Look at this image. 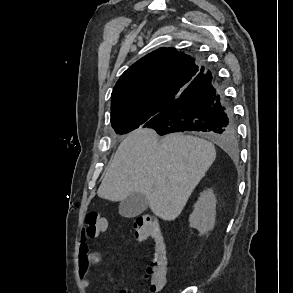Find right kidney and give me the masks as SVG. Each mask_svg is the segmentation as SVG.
Here are the masks:
<instances>
[{
    "label": "right kidney",
    "instance_id": "ca27d5eb",
    "mask_svg": "<svg viewBox=\"0 0 293 293\" xmlns=\"http://www.w3.org/2000/svg\"><path fill=\"white\" fill-rule=\"evenodd\" d=\"M216 215V197L211 189L204 191L194 205L189 217L190 226L196 228L200 235L213 230Z\"/></svg>",
    "mask_w": 293,
    "mask_h": 293
}]
</instances>
